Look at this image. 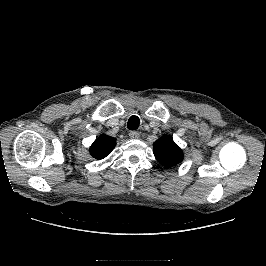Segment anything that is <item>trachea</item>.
Masks as SVG:
<instances>
[{"mask_svg":"<svg viewBox=\"0 0 266 266\" xmlns=\"http://www.w3.org/2000/svg\"><path fill=\"white\" fill-rule=\"evenodd\" d=\"M140 119L137 116H131L128 120L127 127L129 130H136L139 127Z\"/></svg>","mask_w":266,"mask_h":266,"instance_id":"trachea-1","label":"trachea"}]
</instances>
